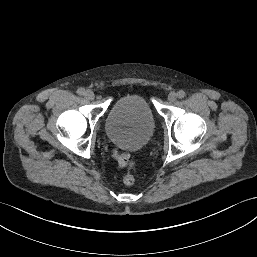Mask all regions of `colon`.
<instances>
[{
	"label": "colon",
	"instance_id": "5ec220e1",
	"mask_svg": "<svg viewBox=\"0 0 257 257\" xmlns=\"http://www.w3.org/2000/svg\"><path fill=\"white\" fill-rule=\"evenodd\" d=\"M114 157L119 162L120 165L128 169V173L124 176L123 182L127 186H132L135 183V177L132 174L137 168V162L135 159L127 153H120L118 151L114 152Z\"/></svg>",
	"mask_w": 257,
	"mask_h": 257
}]
</instances>
